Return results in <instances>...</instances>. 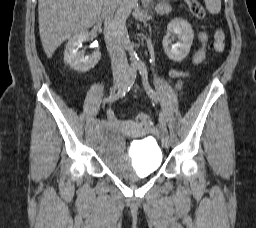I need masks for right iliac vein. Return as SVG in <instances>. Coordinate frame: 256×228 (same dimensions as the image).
<instances>
[{
    "label": "right iliac vein",
    "mask_w": 256,
    "mask_h": 228,
    "mask_svg": "<svg viewBox=\"0 0 256 228\" xmlns=\"http://www.w3.org/2000/svg\"><path fill=\"white\" fill-rule=\"evenodd\" d=\"M126 81V77L124 75L118 74L114 76V90L122 86ZM94 131L98 130L97 126L93 127Z\"/></svg>",
    "instance_id": "right-iliac-vein-1"
}]
</instances>
